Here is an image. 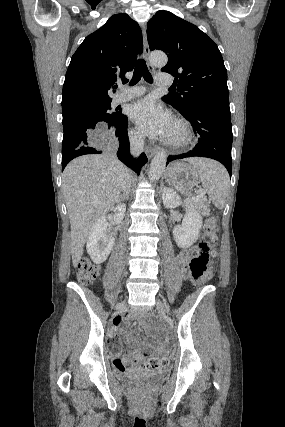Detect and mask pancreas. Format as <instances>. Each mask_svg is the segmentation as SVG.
Returning <instances> with one entry per match:
<instances>
[{"instance_id":"cf45deb5","label":"pancreas","mask_w":285,"mask_h":427,"mask_svg":"<svg viewBox=\"0 0 285 427\" xmlns=\"http://www.w3.org/2000/svg\"><path fill=\"white\" fill-rule=\"evenodd\" d=\"M190 205L200 211L203 215L209 216L210 209L203 199L190 201Z\"/></svg>"}]
</instances>
